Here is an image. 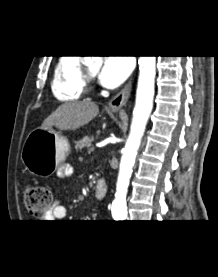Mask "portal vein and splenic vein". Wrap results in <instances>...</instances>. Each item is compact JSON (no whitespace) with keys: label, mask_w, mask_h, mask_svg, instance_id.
Here are the masks:
<instances>
[{"label":"portal vein and splenic vein","mask_w":218,"mask_h":277,"mask_svg":"<svg viewBox=\"0 0 218 277\" xmlns=\"http://www.w3.org/2000/svg\"><path fill=\"white\" fill-rule=\"evenodd\" d=\"M94 150H95V148H94V147H91L90 150H89V152H93Z\"/></svg>","instance_id":"1"}]
</instances>
